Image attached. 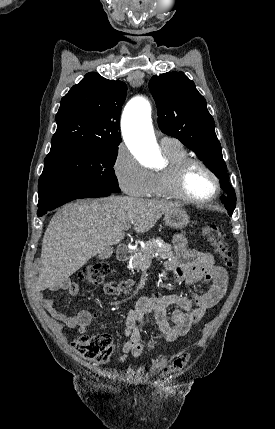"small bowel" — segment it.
I'll use <instances>...</instances> for the list:
<instances>
[{"instance_id":"1","label":"small bowel","mask_w":275,"mask_h":429,"mask_svg":"<svg viewBox=\"0 0 275 429\" xmlns=\"http://www.w3.org/2000/svg\"><path fill=\"white\" fill-rule=\"evenodd\" d=\"M175 256L165 263V268L172 272L176 282L185 281L190 292V297L167 294L152 297H141L136 306L129 311L125 321V336L127 341L123 346V354L119 358L124 362L128 355L139 358L143 345L140 342L141 332L139 324L151 314L157 330L168 342H173L188 333L190 327L199 322L205 311L216 305L224 296L227 285V272L221 266L216 265L212 254L200 250H188L185 234L180 233L173 240ZM203 282L208 284L205 292L197 294L193 287ZM133 286L130 279L109 282L104 286L107 295H118ZM68 290L71 295H77L78 284L75 281L66 280L56 286ZM43 307L57 320L65 323L70 328H76L79 333L85 334L96 319V314L90 309L82 308L75 315H67L60 311L52 298H40ZM174 306L171 314V322L168 321L166 309Z\"/></svg>"}]
</instances>
